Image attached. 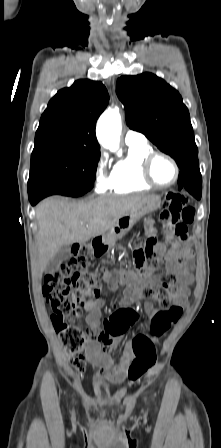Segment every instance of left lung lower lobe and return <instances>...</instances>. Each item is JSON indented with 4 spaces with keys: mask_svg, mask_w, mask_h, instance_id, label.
Wrapping results in <instances>:
<instances>
[{
    "mask_svg": "<svg viewBox=\"0 0 221 448\" xmlns=\"http://www.w3.org/2000/svg\"><path fill=\"white\" fill-rule=\"evenodd\" d=\"M179 190L186 189L196 199L201 198L202 177L199 168H187L179 173Z\"/></svg>",
    "mask_w": 221,
    "mask_h": 448,
    "instance_id": "1",
    "label": "left lung lower lobe"
}]
</instances>
